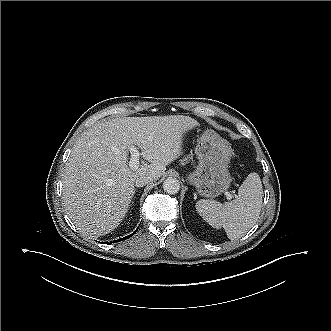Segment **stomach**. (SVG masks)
Instances as JSON below:
<instances>
[{
  "label": "stomach",
  "instance_id": "stomach-1",
  "mask_svg": "<svg viewBox=\"0 0 331 331\" xmlns=\"http://www.w3.org/2000/svg\"><path fill=\"white\" fill-rule=\"evenodd\" d=\"M199 164L189 174L199 195L214 198L225 192L231 183L228 165L232 149L228 142L213 131H206L199 138L196 146Z\"/></svg>",
  "mask_w": 331,
  "mask_h": 331
}]
</instances>
